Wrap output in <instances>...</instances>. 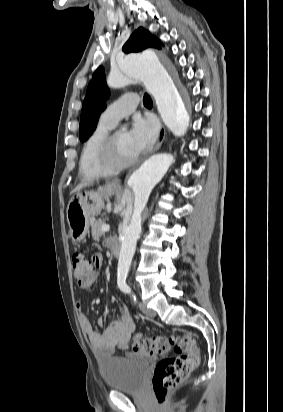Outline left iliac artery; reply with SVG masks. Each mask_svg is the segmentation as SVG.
I'll return each instance as SVG.
<instances>
[{
    "mask_svg": "<svg viewBox=\"0 0 283 412\" xmlns=\"http://www.w3.org/2000/svg\"><path fill=\"white\" fill-rule=\"evenodd\" d=\"M118 286L119 288L125 292L131 294L132 298L134 301H136V296L135 294L132 293L131 288L127 285L126 283V275L125 274H118Z\"/></svg>",
    "mask_w": 283,
    "mask_h": 412,
    "instance_id": "1",
    "label": "left iliac artery"
}]
</instances>
